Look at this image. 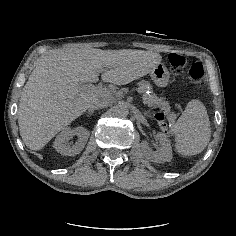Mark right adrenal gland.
<instances>
[{
    "mask_svg": "<svg viewBox=\"0 0 236 236\" xmlns=\"http://www.w3.org/2000/svg\"><path fill=\"white\" fill-rule=\"evenodd\" d=\"M92 114H93V111L89 110L88 115H92Z\"/></svg>",
    "mask_w": 236,
    "mask_h": 236,
    "instance_id": "2a0ac1e0",
    "label": "right adrenal gland"
}]
</instances>
